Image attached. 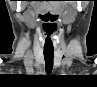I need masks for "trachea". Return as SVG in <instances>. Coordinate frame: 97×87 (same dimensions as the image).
Instances as JSON below:
<instances>
[{
  "instance_id": "1",
  "label": "trachea",
  "mask_w": 97,
  "mask_h": 87,
  "mask_svg": "<svg viewBox=\"0 0 97 87\" xmlns=\"http://www.w3.org/2000/svg\"><path fill=\"white\" fill-rule=\"evenodd\" d=\"M44 58L46 62V72L50 73L53 68L54 51L44 49Z\"/></svg>"
}]
</instances>
